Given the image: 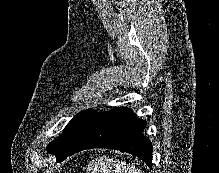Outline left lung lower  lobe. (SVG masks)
Instances as JSON below:
<instances>
[{
  "mask_svg": "<svg viewBox=\"0 0 219 173\" xmlns=\"http://www.w3.org/2000/svg\"><path fill=\"white\" fill-rule=\"evenodd\" d=\"M146 121L137 119L129 108L118 107L96 113L75 143L58 159L63 161L74 153L89 148H108L134 154L151 167L152 144L142 130Z\"/></svg>",
  "mask_w": 219,
  "mask_h": 173,
  "instance_id": "0a47b994",
  "label": "left lung lower lobe"
}]
</instances>
